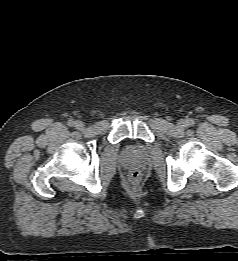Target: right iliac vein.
Listing matches in <instances>:
<instances>
[{
  "instance_id": "1",
  "label": "right iliac vein",
  "mask_w": 238,
  "mask_h": 261,
  "mask_svg": "<svg viewBox=\"0 0 238 261\" xmlns=\"http://www.w3.org/2000/svg\"><path fill=\"white\" fill-rule=\"evenodd\" d=\"M75 128L78 130H83L85 128V124L82 121H76L75 122Z\"/></svg>"
}]
</instances>
